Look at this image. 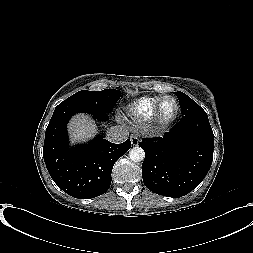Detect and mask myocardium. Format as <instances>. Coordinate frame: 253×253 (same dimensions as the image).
I'll list each match as a JSON object with an SVG mask.
<instances>
[{
  "label": "myocardium",
  "mask_w": 253,
  "mask_h": 253,
  "mask_svg": "<svg viewBox=\"0 0 253 253\" xmlns=\"http://www.w3.org/2000/svg\"><path fill=\"white\" fill-rule=\"evenodd\" d=\"M166 99L173 100L174 103H175V106H176L174 114L171 117L167 118V119L162 118L161 115H160L161 106H162L163 102ZM179 112H180V106H179L178 100L175 97L170 96V95L162 96L159 99V101L157 102V104H156V106L154 108V111H153V114H152V118H151L152 123H153V125L157 129L166 128V127H168L170 124H172L177 119V117L179 115Z\"/></svg>",
  "instance_id": "obj_1"
}]
</instances>
